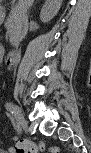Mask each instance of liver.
I'll return each instance as SVG.
<instances>
[{
    "label": "liver",
    "mask_w": 91,
    "mask_h": 153,
    "mask_svg": "<svg viewBox=\"0 0 91 153\" xmlns=\"http://www.w3.org/2000/svg\"><path fill=\"white\" fill-rule=\"evenodd\" d=\"M33 0H20L19 6H21V10H25L28 6L32 4ZM51 4H54L55 6L60 8L61 0H52L50 1Z\"/></svg>",
    "instance_id": "6515ba94"
}]
</instances>
